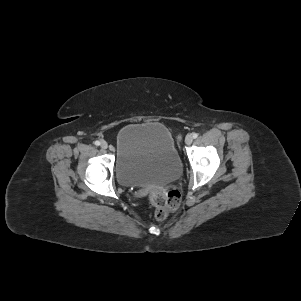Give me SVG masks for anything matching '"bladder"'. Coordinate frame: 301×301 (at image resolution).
<instances>
[{
    "mask_svg": "<svg viewBox=\"0 0 301 301\" xmlns=\"http://www.w3.org/2000/svg\"><path fill=\"white\" fill-rule=\"evenodd\" d=\"M181 171L172 134L163 124H128L117 133L115 173L121 185L162 186L177 180Z\"/></svg>",
    "mask_w": 301,
    "mask_h": 301,
    "instance_id": "obj_1",
    "label": "bladder"
}]
</instances>
